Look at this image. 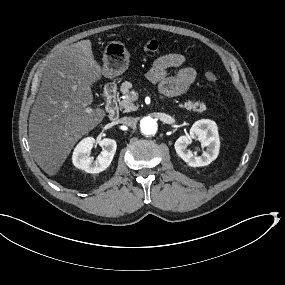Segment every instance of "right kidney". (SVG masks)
Masks as SVG:
<instances>
[{
    "mask_svg": "<svg viewBox=\"0 0 285 285\" xmlns=\"http://www.w3.org/2000/svg\"><path fill=\"white\" fill-rule=\"evenodd\" d=\"M95 143L96 140L94 138L82 140L75 148L72 158L75 167L91 174L106 170L111 164L117 148V143L114 139L103 138L98 142L99 146L104 148L101 153L102 156L93 159L89 157V152Z\"/></svg>",
    "mask_w": 285,
    "mask_h": 285,
    "instance_id": "right-kidney-1",
    "label": "right kidney"
}]
</instances>
